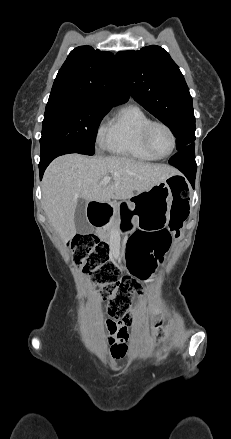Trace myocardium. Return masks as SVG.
<instances>
[{"instance_id":"f54148a6","label":"myocardium","mask_w":231,"mask_h":439,"mask_svg":"<svg viewBox=\"0 0 231 439\" xmlns=\"http://www.w3.org/2000/svg\"><path fill=\"white\" fill-rule=\"evenodd\" d=\"M157 126H160V127H163L164 129H166L167 132L169 133V135L171 137V141H172L170 151L164 155L157 154L152 146V143H151L152 130ZM143 142H144L146 149L151 154H153L157 159H164V158L169 157L175 151L176 146H177V137H176L174 130L172 129V127L169 124H167L164 121H160V120H152L147 124V126L144 129Z\"/></svg>"}]
</instances>
